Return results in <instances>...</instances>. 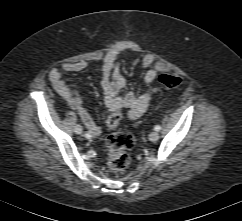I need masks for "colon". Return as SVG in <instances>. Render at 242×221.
<instances>
[{
	"mask_svg": "<svg viewBox=\"0 0 242 221\" xmlns=\"http://www.w3.org/2000/svg\"><path fill=\"white\" fill-rule=\"evenodd\" d=\"M159 82L168 89H174L181 86L185 80L178 75L161 74ZM122 117V111L116 110L107 119V126L111 130L106 139L107 164L114 173H123L128 168L131 161L128 151L135 144V138L131 133L117 129Z\"/></svg>",
	"mask_w": 242,
	"mask_h": 221,
	"instance_id": "5ec220e1",
	"label": "colon"
}]
</instances>
